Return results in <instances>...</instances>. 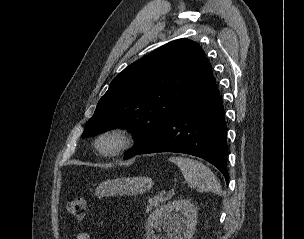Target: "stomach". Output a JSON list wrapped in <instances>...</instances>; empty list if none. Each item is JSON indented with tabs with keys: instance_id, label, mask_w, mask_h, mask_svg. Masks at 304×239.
I'll use <instances>...</instances> for the list:
<instances>
[{
	"instance_id": "stomach-1",
	"label": "stomach",
	"mask_w": 304,
	"mask_h": 239,
	"mask_svg": "<svg viewBox=\"0 0 304 239\" xmlns=\"http://www.w3.org/2000/svg\"><path fill=\"white\" fill-rule=\"evenodd\" d=\"M154 182L150 177H122L109 179L96 188L95 195L99 198L115 195H137L149 191Z\"/></svg>"
}]
</instances>
